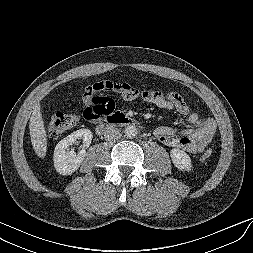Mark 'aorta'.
Here are the masks:
<instances>
[{"label":"aorta","mask_w":253,"mask_h":253,"mask_svg":"<svg viewBox=\"0 0 253 253\" xmlns=\"http://www.w3.org/2000/svg\"><path fill=\"white\" fill-rule=\"evenodd\" d=\"M124 134L127 138L132 139L137 136L138 130L134 125H129L125 128Z\"/></svg>","instance_id":"762f6f07"}]
</instances>
